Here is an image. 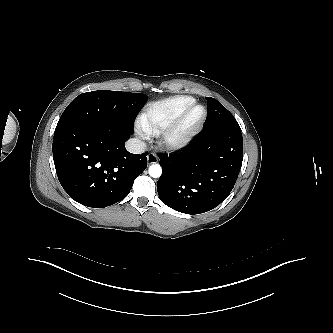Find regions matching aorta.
<instances>
[{
    "label": "aorta",
    "mask_w": 333,
    "mask_h": 333,
    "mask_svg": "<svg viewBox=\"0 0 333 333\" xmlns=\"http://www.w3.org/2000/svg\"><path fill=\"white\" fill-rule=\"evenodd\" d=\"M149 171V175L153 178H158L161 176L162 174V168L160 165L158 164H153L149 167L148 169Z\"/></svg>",
    "instance_id": "obj_1"
}]
</instances>
